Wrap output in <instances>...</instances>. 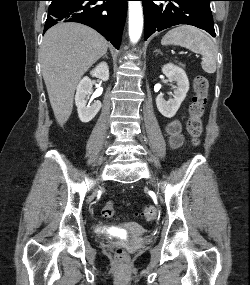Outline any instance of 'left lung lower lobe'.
Instances as JSON below:
<instances>
[{
    "instance_id": "0a47b994",
    "label": "left lung lower lobe",
    "mask_w": 250,
    "mask_h": 285,
    "mask_svg": "<svg viewBox=\"0 0 250 285\" xmlns=\"http://www.w3.org/2000/svg\"><path fill=\"white\" fill-rule=\"evenodd\" d=\"M144 8L146 40L156 31L178 24L201 28L215 37L210 9L212 0H141ZM153 1H162L155 4Z\"/></svg>"
}]
</instances>
